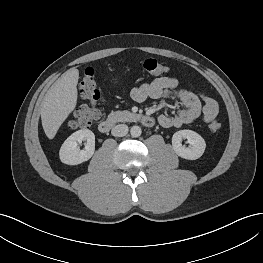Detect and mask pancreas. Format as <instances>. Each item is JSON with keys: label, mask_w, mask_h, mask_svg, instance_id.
<instances>
[{"label": "pancreas", "mask_w": 263, "mask_h": 263, "mask_svg": "<svg viewBox=\"0 0 263 263\" xmlns=\"http://www.w3.org/2000/svg\"><path fill=\"white\" fill-rule=\"evenodd\" d=\"M136 114H133L127 110L111 112L108 115V119L113 122H130L135 120Z\"/></svg>", "instance_id": "1"}]
</instances>
